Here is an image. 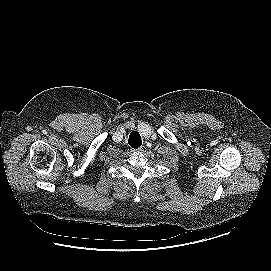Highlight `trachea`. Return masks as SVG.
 Segmentation results:
<instances>
[{
    "mask_svg": "<svg viewBox=\"0 0 271 271\" xmlns=\"http://www.w3.org/2000/svg\"><path fill=\"white\" fill-rule=\"evenodd\" d=\"M128 143L132 148H139L142 145L140 134L138 132H132L129 136Z\"/></svg>",
    "mask_w": 271,
    "mask_h": 271,
    "instance_id": "3493384b",
    "label": "trachea"
}]
</instances>
